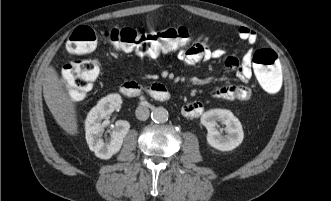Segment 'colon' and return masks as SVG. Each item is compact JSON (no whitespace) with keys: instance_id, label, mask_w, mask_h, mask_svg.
<instances>
[{"instance_id":"1","label":"colon","mask_w":331,"mask_h":201,"mask_svg":"<svg viewBox=\"0 0 331 201\" xmlns=\"http://www.w3.org/2000/svg\"><path fill=\"white\" fill-rule=\"evenodd\" d=\"M193 29L185 27L168 28L161 31L141 33L132 28L113 27L102 36L114 48L124 52H135L141 56H158L181 49L190 44ZM97 43L94 29L77 28L67 42V50L74 55L91 52ZM254 72L264 90L276 93L282 86V66L275 51L259 49L252 57ZM100 74V65L95 59H74L62 70V80L73 99H82L91 89Z\"/></svg>"}]
</instances>
